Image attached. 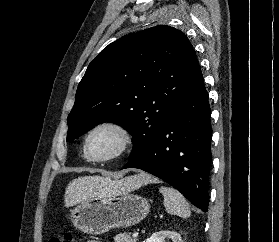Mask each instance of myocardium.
<instances>
[{"mask_svg":"<svg viewBox=\"0 0 279 242\" xmlns=\"http://www.w3.org/2000/svg\"><path fill=\"white\" fill-rule=\"evenodd\" d=\"M102 129H110L115 131L119 135V145L117 149L111 153L108 156L101 157V158H95L92 157L89 153L88 150V145L91 137L99 130ZM133 143V135L132 132L128 127H126L124 124L114 121V120H104L101 121L94 126H92L89 131L87 132L85 139H84V144H83V151L85 157L95 163H105V162H110L116 159L121 158L123 155H125L129 149L131 148Z\"/></svg>","mask_w":279,"mask_h":242,"instance_id":"obj_1","label":"myocardium"}]
</instances>
